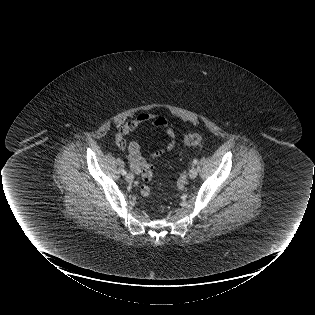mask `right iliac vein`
<instances>
[{"label": "right iliac vein", "mask_w": 315, "mask_h": 315, "mask_svg": "<svg viewBox=\"0 0 315 315\" xmlns=\"http://www.w3.org/2000/svg\"><path fill=\"white\" fill-rule=\"evenodd\" d=\"M126 180L129 182V183H132L134 181V175L132 173H128L126 175Z\"/></svg>", "instance_id": "1"}]
</instances>
